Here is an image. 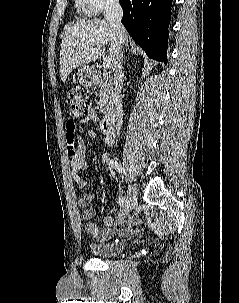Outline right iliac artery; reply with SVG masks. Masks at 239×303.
Wrapping results in <instances>:
<instances>
[{
	"label": "right iliac artery",
	"instance_id": "right-iliac-artery-1",
	"mask_svg": "<svg viewBox=\"0 0 239 303\" xmlns=\"http://www.w3.org/2000/svg\"><path fill=\"white\" fill-rule=\"evenodd\" d=\"M107 163L114 168L115 170H117L119 173H123L124 172V168L121 166L120 163H118L116 160L113 159H107ZM125 202V198L124 197H120L118 200V203L120 206H123Z\"/></svg>",
	"mask_w": 239,
	"mask_h": 303
}]
</instances>
